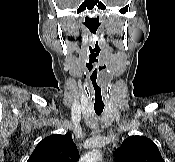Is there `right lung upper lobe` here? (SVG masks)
<instances>
[{
  "mask_svg": "<svg viewBox=\"0 0 175 162\" xmlns=\"http://www.w3.org/2000/svg\"><path fill=\"white\" fill-rule=\"evenodd\" d=\"M79 152L70 135L54 134L37 144L27 162H77Z\"/></svg>",
  "mask_w": 175,
  "mask_h": 162,
  "instance_id": "obj_1",
  "label": "right lung upper lobe"
}]
</instances>
